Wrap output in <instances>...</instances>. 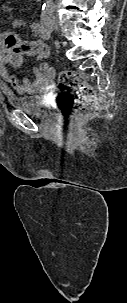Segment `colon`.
Wrapping results in <instances>:
<instances>
[{
  "label": "colon",
  "mask_w": 127,
  "mask_h": 303,
  "mask_svg": "<svg viewBox=\"0 0 127 303\" xmlns=\"http://www.w3.org/2000/svg\"><path fill=\"white\" fill-rule=\"evenodd\" d=\"M8 41L15 42L14 39H8ZM45 67V65H42V69ZM57 82L62 90L60 106L66 117L76 116L94 104L95 91L86 83L80 73L72 70H63L59 72Z\"/></svg>",
  "instance_id": "obj_1"
}]
</instances>
